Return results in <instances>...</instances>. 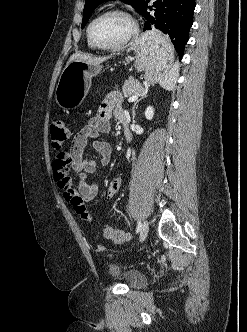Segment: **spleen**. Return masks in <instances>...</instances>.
Wrapping results in <instances>:
<instances>
[{
    "instance_id": "1",
    "label": "spleen",
    "mask_w": 247,
    "mask_h": 332,
    "mask_svg": "<svg viewBox=\"0 0 247 332\" xmlns=\"http://www.w3.org/2000/svg\"><path fill=\"white\" fill-rule=\"evenodd\" d=\"M178 77V65L173 67L163 78L159 79V84L166 90H173Z\"/></svg>"
}]
</instances>
